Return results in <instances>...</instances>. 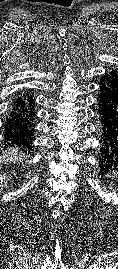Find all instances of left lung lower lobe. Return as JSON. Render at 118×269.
I'll use <instances>...</instances> for the list:
<instances>
[{"label":"left lung lower lobe","instance_id":"0a47b994","mask_svg":"<svg viewBox=\"0 0 118 269\" xmlns=\"http://www.w3.org/2000/svg\"><path fill=\"white\" fill-rule=\"evenodd\" d=\"M99 94V114L102 123L100 167L109 169L118 165V91L105 84ZM102 170V169H101Z\"/></svg>","mask_w":118,"mask_h":269}]
</instances>
